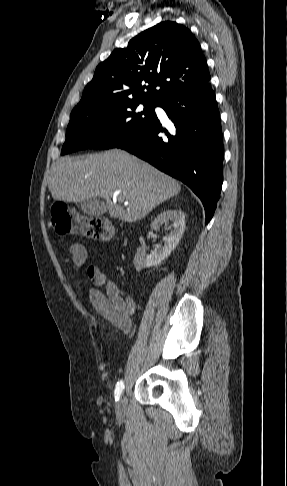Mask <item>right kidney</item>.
Here are the masks:
<instances>
[{"label":"right kidney","instance_id":"obj_1","mask_svg":"<svg viewBox=\"0 0 287 486\" xmlns=\"http://www.w3.org/2000/svg\"><path fill=\"white\" fill-rule=\"evenodd\" d=\"M172 222L173 230L163 237L164 245L157 246L150 255H146L145 249L140 247L134 257L136 271L159 265L168 258L181 239L185 229V214L181 210H166L160 213L151 223V229L158 231L162 224Z\"/></svg>","mask_w":287,"mask_h":486}]
</instances>
